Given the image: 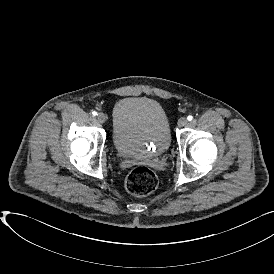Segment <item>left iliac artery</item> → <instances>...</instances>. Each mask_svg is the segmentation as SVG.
I'll return each mask as SVG.
<instances>
[{
	"instance_id": "left-iliac-artery-1",
	"label": "left iliac artery",
	"mask_w": 274,
	"mask_h": 274,
	"mask_svg": "<svg viewBox=\"0 0 274 274\" xmlns=\"http://www.w3.org/2000/svg\"><path fill=\"white\" fill-rule=\"evenodd\" d=\"M187 119H188V121H191V120L193 119V116L189 115V116L187 117Z\"/></svg>"
}]
</instances>
